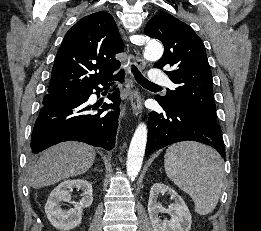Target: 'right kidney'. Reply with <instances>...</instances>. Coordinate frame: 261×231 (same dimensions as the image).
Listing matches in <instances>:
<instances>
[{
  "instance_id": "right-kidney-1",
  "label": "right kidney",
  "mask_w": 261,
  "mask_h": 231,
  "mask_svg": "<svg viewBox=\"0 0 261 231\" xmlns=\"http://www.w3.org/2000/svg\"><path fill=\"white\" fill-rule=\"evenodd\" d=\"M76 188L81 190L80 202H73L74 208L63 210L62 202H70V192ZM93 202V190L90 182L84 179L65 180L61 182L50 194L45 212L50 223L57 229L69 231L80 225L83 209L90 207Z\"/></svg>"
}]
</instances>
